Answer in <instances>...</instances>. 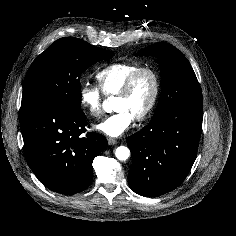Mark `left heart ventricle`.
<instances>
[{
	"mask_svg": "<svg viewBox=\"0 0 236 236\" xmlns=\"http://www.w3.org/2000/svg\"><path fill=\"white\" fill-rule=\"evenodd\" d=\"M153 90L152 77L147 73L142 74L128 96L115 99V110H126L135 117L148 106Z\"/></svg>",
	"mask_w": 236,
	"mask_h": 236,
	"instance_id": "obj_1",
	"label": "left heart ventricle"
}]
</instances>
